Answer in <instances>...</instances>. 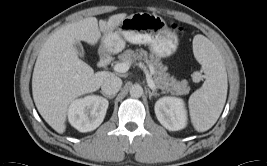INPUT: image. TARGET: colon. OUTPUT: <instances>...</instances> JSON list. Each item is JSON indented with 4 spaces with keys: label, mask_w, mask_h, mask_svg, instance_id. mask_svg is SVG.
I'll use <instances>...</instances> for the list:
<instances>
[{
    "label": "colon",
    "mask_w": 267,
    "mask_h": 166,
    "mask_svg": "<svg viewBox=\"0 0 267 166\" xmlns=\"http://www.w3.org/2000/svg\"><path fill=\"white\" fill-rule=\"evenodd\" d=\"M173 29L179 34V35H183L184 30L180 25L174 24L173 25Z\"/></svg>",
    "instance_id": "5ec220e1"
}]
</instances>
